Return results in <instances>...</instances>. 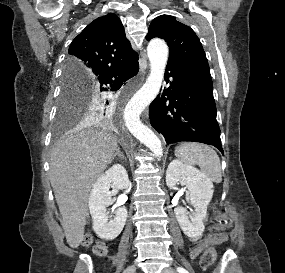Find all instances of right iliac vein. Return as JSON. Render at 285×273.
I'll list each match as a JSON object with an SVG mask.
<instances>
[{
    "instance_id": "1",
    "label": "right iliac vein",
    "mask_w": 285,
    "mask_h": 273,
    "mask_svg": "<svg viewBox=\"0 0 285 273\" xmlns=\"http://www.w3.org/2000/svg\"><path fill=\"white\" fill-rule=\"evenodd\" d=\"M135 271H136V266L131 265V266L127 267L123 273H135Z\"/></svg>"
}]
</instances>
